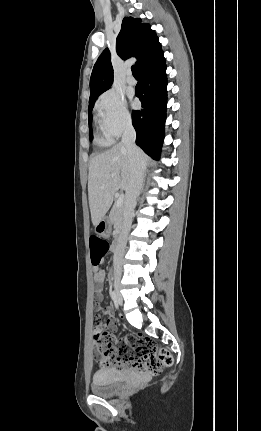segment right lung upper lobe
Segmentation results:
<instances>
[{"label":"right lung upper lobe","instance_id":"1","mask_svg":"<svg viewBox=\"0 0 261 431\" xmlns=\"http://www.w3.org/2000/svg\"><path fill=\"white\" fill-rule=\"evenodd\" d=\"M116 51L122 59L135 57L138 68L162 51L161 44L149 24L141 19L125 17L116 39ZM108 49L97 59L90 78V99L108 90L113 83V67Z\"/></svg>","mask_w":261,"mask_h":431}]
</instances>
